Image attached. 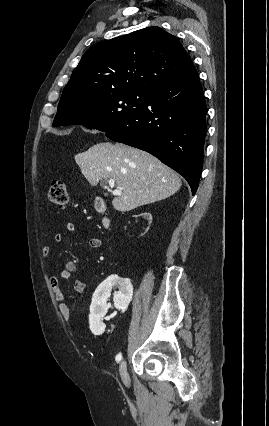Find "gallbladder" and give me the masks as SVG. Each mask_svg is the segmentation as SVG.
Segmentation results:
<instances>
[{"mask_svg":"<svg viewBox=\"0 0 269 426\" xmlns=\"http://www.w3.org/2000/svg\"><path fill=\"white\" fill-rule=\"evenodd\" d=\"M100 184H101V186H104V184H105V183H104V182H101Z\"/></svg>","mask_w":269,"mask_h":426,"instance_id":"gallbladder-1","label":"gallbladder"}]
</instances>
